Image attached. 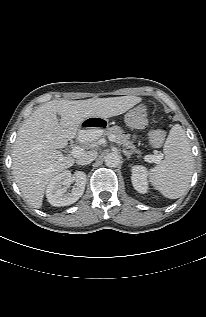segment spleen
I'll use <instances>...</instances> for the list:
<instances>
[{"mask_svg": "<svg viewBox=\"0 0 206 317\" xmlns=\"http://www.w3.org/2000/svg\"><path fill=\"white\" fill-rule=\"evenodd\" d=\"M164 154V160L149 171V179L165 197L177 199L188 190L194 170L189 139L179 124L171 128Z\"/></svg>", "mask_w": 206, "mask_h": 317, "instance_id": "3e777b00", "label": "spleen"}]
</instances>
